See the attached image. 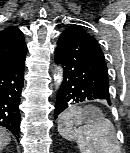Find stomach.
Wrapping results in <instances>:
<instances>
[{
  "instance_id": "1",
  "label": "stomach",
  "mask_w": 130,
  "mask_h": 153,
  "mask_svg": "<svg viewBox=\"0 0 130 153\" xmlns=\"http://www.w3.org/2000/svg\"><path fill=\"white\" fill-rule=\"evenodd\" d=\"M84 113H85V115H84V122L85 123H91V122H94L96 120V118L103 117L100 110H98L95 107H91V106L85 107Z\"/></svg>"
}]
</instances>
